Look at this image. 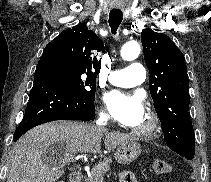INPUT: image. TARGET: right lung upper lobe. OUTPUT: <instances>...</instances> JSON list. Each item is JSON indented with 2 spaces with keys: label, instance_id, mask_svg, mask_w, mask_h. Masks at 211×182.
Here are the masks:
<instances>
[{
  "label": "right lung upper lobe",
  "instance_id": "obj_1",
  "mask_svg": "<svg viewBox=\"0 0 211 182\" xmlns=\"http://www.w3.org/2000/svg\"><path fill=\"white\" fill-rule=\"evenodd\" d=\"M103 46V41L82 23L62 31L45 47L42 57L53 64L70 65L96 77L101 62L92 55L101 51Z\"/></svg>",
  "mask_w": 211,
  "mask_h": 182
}]
</instances>
